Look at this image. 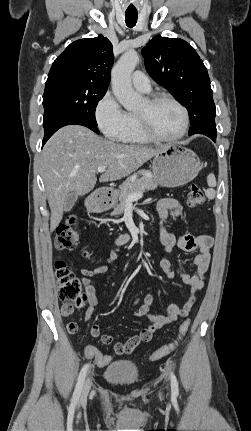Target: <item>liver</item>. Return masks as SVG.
<instances>
[{"label": "liver", "instance_id": "1", "mask_svg": "<svg viewBox=\"0 0 251 431\" xmlns=\"http://www.w3.org/2000/svg\"><path fill=\"white\" fill-rule=\"evenodd\" d=\"M165 148L114 143L80 125L58 130L45 144L40 162L51 210L50 231L53 232L61 222L64 204L70 194L85 195L93 190L98 167L106 166L100 182L119 180Z\"/></svg>", "mask_w": 251, "mask_h": 431}]
</instances>
